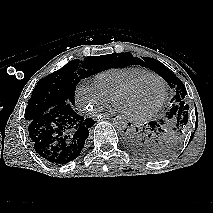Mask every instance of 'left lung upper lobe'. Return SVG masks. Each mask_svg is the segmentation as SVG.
Instances as JSON below:
<instances>
[{
  "mask_svg": "<svg viewBox=\"0 0 213 213\" xmlns=\"http://www.w3.org/2000/svg\"><path fill=\"white\" fill-rule=\"evenodd\" d=\"M118 58L122 59L119 67L141 65L149 68L164 78L174 90L171 107L164 117L165 129L156 145L155 158L160 159L171 155L180 146L188 124L189 105L185 101L187 91L184 84L165 65L153 58L139 59L129 52L120 53Z\"/></svg>",
  "mask_w": 213,
  "mask_h": 213,
  "instance_id": "left-lung-upper-lobe-1",
  "label": "left lung upper lobe"
}]
</instances>
